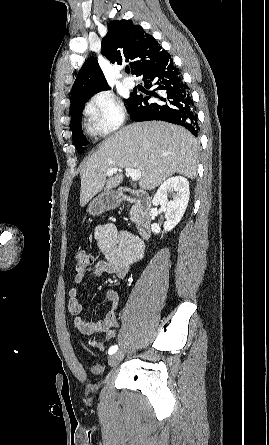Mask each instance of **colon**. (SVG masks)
Instances as JSON below:
<instances>
[{"mask_svg":"<svg viewBox=\"0 0 269 445\" xmlns=\"http://www.w3.org/2000/svg\"><path fill=\"white\" fill-rule=\"evenodd\" d=\"M75 270L77 273L85 271L93 264V257L85 250L78 249L74 253ZM99 348H103V344L100 343Z\"/></svg>","mask_w":269,"mask_h":445,"instance_id":"colon-1","label":"colon"}]
</instances>
